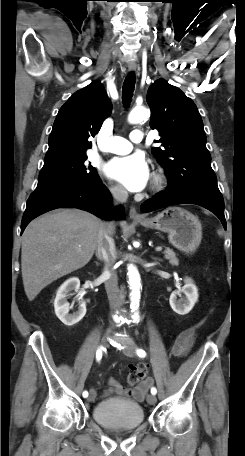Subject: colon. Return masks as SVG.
Masks as SVG:
<instances>
[{
  "instance_id": "obj_1",
  "label": "colon",
  "mask_w": 245,
  "mask_h": 456,
  "mask_svg": "<svg viewBox=\"0 0 245 456\" xmlns=\"http://www.w3.org/2000/svg\"><path fill=\"white\" fill-rule=\"evenodd\" d=\"M147 374V366L145 364H139L133 367L128 374V382L132 385L138 384L144 379Z\"/></svg>"
}]
</instances>
